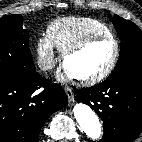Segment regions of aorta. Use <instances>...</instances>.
I'll use <instances>...</instances> for the list:
<instances>
[{"mask_svg": "<svg viewBox=\"0 0 142 142\" xmlns=\"http://www.w3.org/2000/svg\"><path fill=\"white\" fill-rule=\"evenodd\" d=\"M73 114L81 129L92 140L100 139L102 128L95 112L85 103L79 102L73 108Z\"/></svg>", "mask_w": 142, "mask_h": 142, "instance_id": "1", "label": "aorta"}]
</instances>
